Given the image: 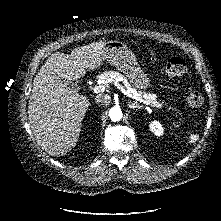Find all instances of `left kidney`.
<instances>
[{"label": "left kidney", "instance_id": "left-kidney-1", "mask_svg": "<svg viewBox=\"0 0 221 221\" xmlns=\"http://www.w3.org/2000/svg\"><path fill=\"white\" fill-rule=\"evenodd\" d=\"M149 128L156 136H161L163 134V127L158 121H152Z\"/></svg>", "mask_w": 221, "mask_h": 221}]
</instances>
